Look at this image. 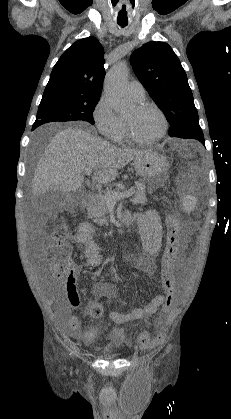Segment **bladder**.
Returning <instances> with one entry per match:
<instances>
[{
	"label": "bladder",
	"instance_id": "obj_1",
	"mask_svg": "<svg viewBox=\"0 0 231 419\" xmlns=\"http://www.w3.org/2000/svg\"><path fill=\"white\" fill-rule=\"evenodd\" d=\"M104 354H105V356H106V357H108V358H113V357H115V355H116V353H115V349H114L113 347H107V348L104 350Z\"/></svg>",
	"mask_w": 231,
	"mask_h": 419
}]
</instances>
